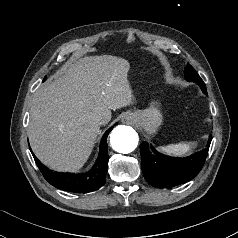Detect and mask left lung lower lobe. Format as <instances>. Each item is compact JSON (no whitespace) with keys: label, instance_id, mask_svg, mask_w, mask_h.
Listing matches in <instances>:
<instances>
[{"label":"left lung lower lobe","instance_id":"obj_1","mask_svg":"<svg viewBox=\"0 0 238 238\" xmlns=\"http://www.w3.org/2000/svg\"><path fill=\"white\" fill-rule=\"evenodd\" d=\"M211 140L212 137L207 148L184 158L164 155L147 142H142L141 167L145 179L157 188H169L192 180L204 165Z\"/></svg>","mask_w":238,"mask_h":238}]
</instances>
